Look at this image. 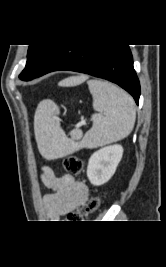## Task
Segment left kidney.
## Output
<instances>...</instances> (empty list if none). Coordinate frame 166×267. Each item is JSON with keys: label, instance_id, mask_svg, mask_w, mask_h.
Here are the masks:
<instances>
[{"label": "left kidney", "instance_id": "5707ae66", "mask_svg": "<svg viewBox=\"0 0 166 267\" xmlns=\"http://www.w3.org/2000/svg\"><path fill=\"white\" fill-rule=\"evenodd\" d=\"M123 147L119 144L106 146L94 152L88 162L87 177L95 186L103 185L114 175L122 158Z\"/></svg>", "mask_w": 166, "mask_h": 267}]
</instances>
